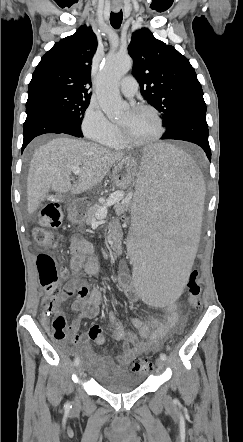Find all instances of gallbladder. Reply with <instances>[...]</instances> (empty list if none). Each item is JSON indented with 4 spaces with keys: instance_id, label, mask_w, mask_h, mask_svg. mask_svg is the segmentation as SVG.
Segmentation results:
<instances>
[{
    "instance_id": "gallbladder-1",
    "label": "gallbladder",
    "mask_w": 243,
    "mask_h": 442,
    "mask_svg": "<svg viewBox=\"0 0 243 442\" xmlns=\"http://www.w3.org/2000/svg\"><path fill=\"white\" fill-rule=\"evenodd\" d=\"M47 199H56V200H58V202H59V201H63V200H65V199H66V196L63 195V194H59V193H48V194L46 195V200H47ZM46 200H45V202H44L45 207H46Z\"/></svg>"
}]
</instances>
